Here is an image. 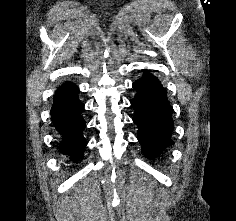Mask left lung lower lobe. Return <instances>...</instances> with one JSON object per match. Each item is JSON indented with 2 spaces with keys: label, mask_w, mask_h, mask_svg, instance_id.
I'll use <instances>...</instances> for the list:
<instances>
[{
  "label": "left lung lower lobe",
  "mask_w": 236,
  "mask_h": 221,
  "mask_svg": "<svg viewBox=\"0 0 236 221\" xmlns=\"http://www.w3.org/2000/svg\"><path fill=\"white\" fill-rule=\"evenodd\" d=\"M133 88L137 91L131 101L135 109L133 121L139 127L138 140L143 153L151 159L173 144L170 139L174 128L172 109L166 90L149 71H145L143 76L133 83Z\"/></svg>",
  "instance_id": "0a47b994"
}]
</instances>
